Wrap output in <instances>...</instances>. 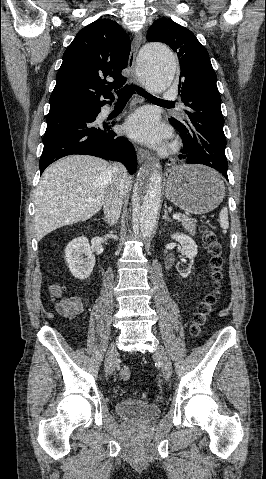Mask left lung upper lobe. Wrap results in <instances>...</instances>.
<instances>
[{
  "mask_svg": "<svg viewBox=\"0 0 266 479\" xmlns=\"http://www.w3.org/2000/svg\"><path fill=\"white\" fill-rule=\"evenodd\" d=\"M147 40L169 45L178 56L179 93L191 110L185 119L171 120L188 153L205 165L227 162L221 97L207 50L190 30L167 18L152 24Z\"/></svg>",
  "mask_w": 266,
  "mask_h": 479,
  "instance_id": "1",
  "label": "left lung upper lobe"
}]
</instances>
